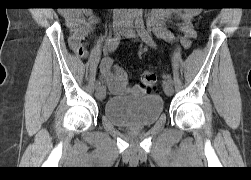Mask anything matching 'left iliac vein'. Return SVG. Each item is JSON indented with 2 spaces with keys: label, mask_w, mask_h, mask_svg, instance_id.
<instances>
[{
  "label": "left iliac vein",
  "mask_w": 251,
  "mask_h": 180,
  "mask_svg": "<svg viewBox=\"0 0 251 180\" xmlns=\"http://www.w3.org/2000/svg\"><path fill=\"white\" fill-rule=\"evenodd\" d=\"M122 34L132 40H137L138 39V34L135 32L134 28L130 25H126ZM163 89L166 95L171 96L174 93L173 85L171 82L165 80L163 82Z\"/></svg>",
  "instance_id": "left-iliac-vein-1"
}]
</instances>
